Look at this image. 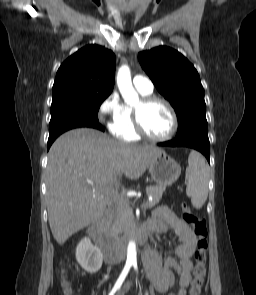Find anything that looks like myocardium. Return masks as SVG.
<instances>
[{
    "instance_id": "1",
    "label": "myocardium",
    "mask_w": 256,
    "mask_h": 295,
    "mask_svg": "<svg viewBox=\"0 0 256 295\" xmlns=\"http://www.w3.org/2000/svg\"><path fill=\"white\" fill-rule=\"evenodd\" d=\"M140 102L143 107L148 106L153 103H161L162 105H164L171 115L172 127H171L170 132L163 137L152 136L143 127L141 120H140L139 110L134 108L132 110V119H133L134 130L137 133V135L139 137H142V138H144L148 141H152V142H165V141L170 140L175 135V133L177 132V129H178V118H177V114H176L173 106L166 99L158 97V96H153V95L144 96L140 100Z\"/></svg>"
}]
</instances>
